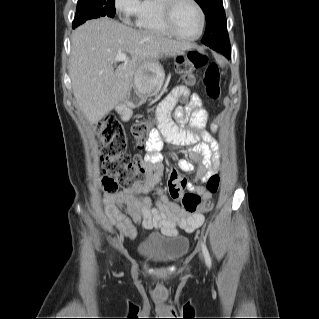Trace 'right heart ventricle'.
<instances>
[{
    "mask_svg": "<svg viewBox=\"0 0 319 319\" xmlns=\"http://www.w3.org/2000/svg\"><path fill=\"white\" fill-rule=\"evenodd\" d=\"M161 3V0L141 1L135 17L136 25L140 29L159 35H169L162 19Z\"/></svg>",
    "mask_w": 319,
    "mask_h": 319,
    "instance_id": "e07e8e85",
    "label": "right heart ventricle"
}]
</instances>
